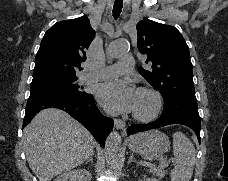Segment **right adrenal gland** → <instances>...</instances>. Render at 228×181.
<instances>
[{
    "label": "right adrenal gland",
    "mask_w": 228,
    "mask_h": 181,
    "mask_svg": "<svg viewBox=\"0 0 228 181\" xmlns=\"http://www.w3.org/2000/svg\"><path fill=\"white\" fill-rule=\"evenodd\" d=\"M87 163H91V165H93V155H91V157H89V159H87L83 165H87Z\"/></svg>",
    "instance_id": "obj_1"
}]
</instances>
